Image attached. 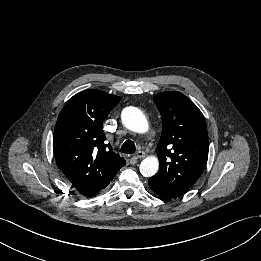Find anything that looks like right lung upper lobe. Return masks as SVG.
<instances>
[{
    "label": "right lung upper lobe",
    "instance_id": "1",
    "mask_svg": "<svg viewBox=\"0 0 261 261\" xmlns=\"http://www.w3.org/2000/svg\"><path fill=\"white\" fill-rule=\"evenodd\" d=\"M119 96L98 89L79 92L62 108L53 134L58 167L85 197L100 194L125 160L114 153L102 123L119 103Z\"/></svg>",
    "mask_w": 261,
    "mask_h": 261
}]
</instances>
